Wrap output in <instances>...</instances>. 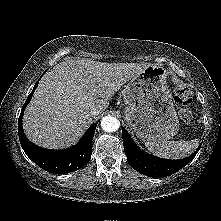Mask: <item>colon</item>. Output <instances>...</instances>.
<instances>
[{"label":"colon","instance_id":"colon-1","mask_svg":"<svg viewBox=\"0 0 221 221\" xmlns=\"http://www.w3.org/2000/svg\"><path fill=\"white\" fill-rule=\"evenodd\" d=\"M174 100L179 108L180 118L184 123H190L192 121V113L188 106L193 100V93L187 87H177L175 89Z\"/></svg>","mask_w":221,"mask_h":221}]
</instances>
